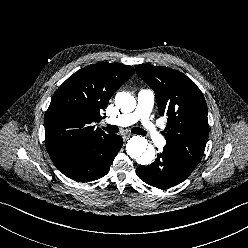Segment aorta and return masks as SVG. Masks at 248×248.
Here are the masks:
<instances>
[{
	"instance_id": "1",
	"label": "aorta",
	"mask_w": 248,
	"mask_h": 248,
	"mask_svg": "<svg viewBox=\"0 0 248 248\" xmlns=\"http://www.w3.org/2000/svg\"><path fill=\"white\" fill-rule=\"evenodd\" d=\"M115 103L125 113L132 112L136 107L135 98L127 92H118L115 96ZM126 152L141 165L150 164L155 157L154 148L148 149V141L142 136H134L129 139L126 144Z\"/></svg>"
}]
</instances>
